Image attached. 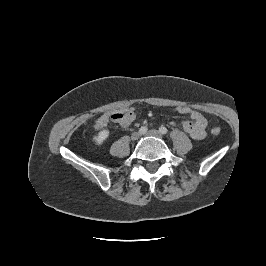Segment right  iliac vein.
<instances>
[{
    "mask_svg": "<svg viewBox=\"0 0 266 266\" xmlns=\"http://www.w3.org/2000/svg\"><path fill=\"white\" fill-rule=\"evenodd\" d=\"M138 138H139V134L137 132L132 133V135H131L132 141H136V140H138Z\"/></svg>",
    "mask_w": 266,
    "mask_h": 266,
    "instance_id": "obj_1",
    "label": "right iliac vein"
}]
</instances>
